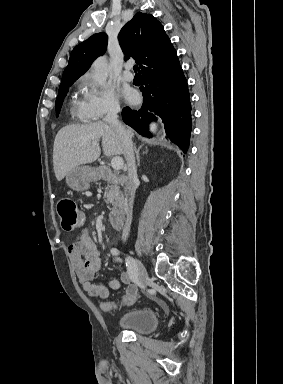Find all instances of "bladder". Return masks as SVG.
Segmentation results:
<instances>
[{
  "instance_id": "31cf9c89",
  "label": "bladder",
  "mask_w": 283,
  "mask_h": 384,
  "mask_svg": "<svg viewBox=\"0 0 283 384\" xmlns=\"http://www.w3.org/2000/svg\"><path fill=\"white\" fill-rule=\"evenodd\" d=\"M159 326V313L155 307H138L123 313L117 327L134 330L141 334H150Z\"/></svg>"
}]
</instances>
